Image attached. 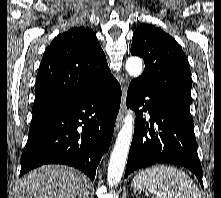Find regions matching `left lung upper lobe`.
<instances>
[{"label": "left lung upper lobe", "instance_id": "1", "mask_svg": "<svg viewBox=\"0 0 221 198\" xmlns=\"http://www.w3.org/2000/svg\"><path fill=\"white\" fill-rule=\"evenodd\" d=\"M130 51L145 62L143 74L133 81L148 87L171 108L192 120L189 109L192 79L180 45L161 29L141 24L133 35Z\"/></svg>", "mask_w": 221, "mask_h": 198}]
</instances>
